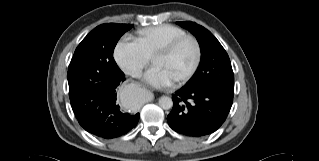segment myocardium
Listing matches in <instances>:
<instances>
[{
    "label": "myocardium",
    "instance_id": "myocardium-1",
    "mask_svg": "<svg viewBox=\"0 0 319 161\" xmlns=\"http://www.w3.org/2000/svg\"><path fill=\"white\" fill-rule=\"evenodd\" d=\"M187 40L191 41L194 45L195 57L191 67L183 75L174 80V82L177 84L184 83L191 77H193V75L197 72L200 66L202 59V49L197 38L190 34H185L180 37H177L163 45L159 50H157V52L152 58V61H154L156 58H163L171 55L180 44Z\"/></svg>",
    "mask_w": 319,
    "mask_h": 161
}]
</instances>
